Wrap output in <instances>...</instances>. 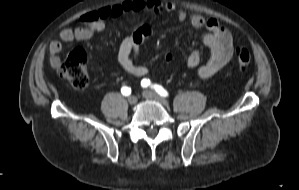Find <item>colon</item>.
Wrapping results in <instances>:
<instances>
[{"label":"colon","mask_w":299,"mask_h":190,"mask_svg":"<svg viewBox=\"0 0 299 190\" xmlns=\"http://www.w3.org/2000/svg\"><path fill=\"white\" fill-rule=\"evenodd\" d=\"M236 62L240 68H246L251 62L250 51L240 47L236 51ZM58 72L60 76L68 80L76 89H84L89 84L87 72V56L84 50L78 47L70 49L67 57L60 64Z\"/></svg>","instance_id":"1"}]
</instances>
